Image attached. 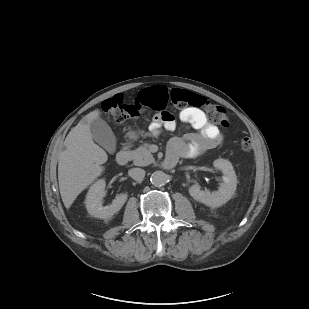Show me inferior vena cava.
Instances as JSON below:
<instances>
[{"instance_id":"obj_1","label":"inferior vena cava","mask_w":309,"mask_h":309,"mask_svg":"<svg viewBox=\"0 0 309 309\" xmlns=\"http://www.w3.org/2000/svg\"><path fill=\"white\" fill-rule=\"evenodd\" d=\"M129 176L136 181H142L145 176V170L141 168H132L128 172Z\"/></svg>"}]
</instances>
